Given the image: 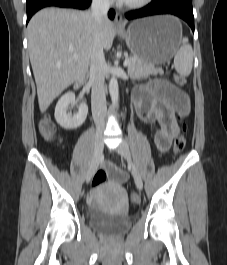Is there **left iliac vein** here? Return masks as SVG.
Here are the masks:
<instances>
[{
	"instance_id": "obj_1",
	"label": "left iliac vein",
	"mask_w": 227,
	"mask_h": 265,
	"mask_svg": "<svg viewBox=\"0 0 227 265\" xmlns=\"http://www.w3.org/2000/svg\"><path fill=\"white\" fill-rule=\"evenodd\" d=\"M116 150L122 157H124L130 163L131 172H132V175L134 177L136 187L138 188V190H142V188H143L142 177L140 175L138 168L134 165V163L131 160V153H130L128 144L123 140L118 145Z\"/></svg>"
}]
</instances>
